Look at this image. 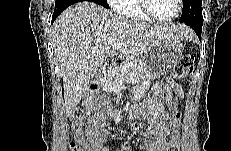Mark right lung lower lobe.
<instances>
[{
	"label": "right lung lower lobe",
	"mask_w": 231,
	"mask_h": 151,
	"mask_svg": "<svg viewBox=\"0 0 231 151\" xmlns=\"http://www.w3.org/2000/svg\"><path fill=\"white\" fill-rule=\"evenodd\" d=\"M80 2L79 0H56L55 1V9L52 17V23L57 18V16L68 6ZM92 2L97 3L95 0H92Z\"/></svg>",
	"instance_id": "right-lung-lower-lobe-1"
}]
</instances>
